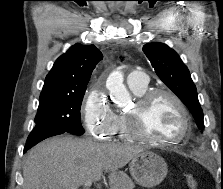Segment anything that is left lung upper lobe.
<instances>
[{
    "label": "left lung upper lobe",
    "mask_w": 223,
    "mask_h": 189,
    "mask_svg": "<svg viewBox=\"0 0 223 189\" xmlns=\"http://www.w3.org/2000/svg\"><path fill=\"white\" fill-rule=\"evenodd\" d=\"M143 52L151 62L158 77L189 108L199 127H204L203 111L198 101L196 87L188 68L179 55L163 43H149Z\"/></svg>",
    "instance_id": "5c2ea615"
}]
</instances>
